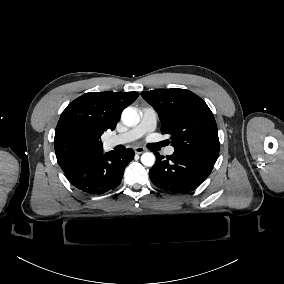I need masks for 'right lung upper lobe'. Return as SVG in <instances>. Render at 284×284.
<instances>
[{"label": "right lung upper lobe", "mask_w": 284, "mask_h": 284, "mask_svg": "<svg viewBox=\"0 0 284 284\" xmlns=\"http://www.w3.org/2000/svg\"><path fill=\"white\" fill-rule=\"evenodd\" d=\"M138 92H92L72 101L55 130L57 162L65 174L103 153L101 135L114 130L122 111Z\"/></svg>", "instance_id": "right-lung-upper-lobe-1"}]
</instances>
